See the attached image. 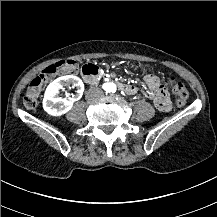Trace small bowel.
I'll return each instance as SVG.
<instances>
[{
    "label": "small bowel",
    "mask_w": 217,
    "mask_h": 217,
    "mask_svg": "<svg viewBox=\"0 0 217 217\" xmlns=\"http://www.w3.org/2000/svg\"><path fill=\"white\" fill-rule=\"evenodd\" d=\"M145 81L152 87V101L156 104L157 108L163 112H168L171 109L168 95L161 87L157 77L153 75L145 76Z\"/></svg>",
    "instance_id": "obj_1"
}]
</instances>
